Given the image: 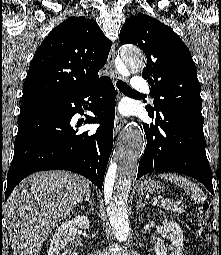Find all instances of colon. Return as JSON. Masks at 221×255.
Here are the masks:
<instances>
[{
  "mask_svg": "<svg viewBox=\"0 0 221 255\" xmlns=\"http://www.w3.org/2000/svg\"><path fill=\"white\" fill-rule=\"evenodd\" d=\"M198 235L203 242H208L211 239V221H210V206L208 203L202 204L197 213Z\"/></svg>",
  "mask_w": 221,
  "mask_h": 255,
  "instance_id": "obj_1",
  "label": "colon"
}]
</instances>
